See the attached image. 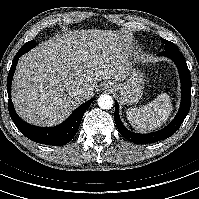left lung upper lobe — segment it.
<instances>
[{"instance_id":"left-lung-upper-lobe-1","label":"left lung upper lobe","mask_w":199,"mask_h":199,"mask_svg":"<svg viewBox=\"0 0 199 199\" xmlns=\"http://www.w3.org/2000/svg\"><path fill=\"white\" fill-rule=\"evenodd\" d=\"M162 42L165 44L164 49H174V48H178L174 43L168 41V40H162Z\"/></svg>"}]
</instances>
